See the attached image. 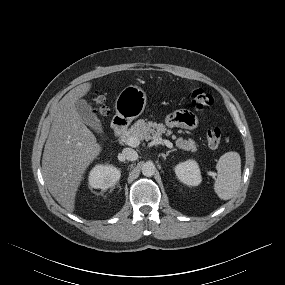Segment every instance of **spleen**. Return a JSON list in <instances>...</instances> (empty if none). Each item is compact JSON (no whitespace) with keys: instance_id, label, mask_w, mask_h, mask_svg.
Listing matches in <instances>:
<instances>
[{"instance_id":"obj_1","label":"spleen","mask_w":285,"mask_h":285,"mask_svg":"<svg viewBox=\"0 0 285 285\" xmlns=\"http://www.w3.org/2000/svg\"><path fill=\"white\" fill-rule=\"evenodd\" d=\"M217 178L214 191L220 199H231L239 189L241 183V159L237 152L223 154L217 164Z\"/></svg>"}]
</instances>
